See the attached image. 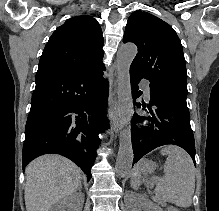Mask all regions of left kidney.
Listing matches in <instances>:
<instances>
[{
	"label": "left kidney",
	"mask_w": 219,
	"mask_h": 211,
	"mask_svg": "<svg viewBox=\"0 0 219 211\" xmlns=\"http://www.w3.org/2000/svg\"><path fill=\"white\" fill-rule=\"evenodd\" d=\"M135 199L138 207H148L147 211H162L161 207L156 205V203H144L143 199H141V197H137V195Z\"/></svg>",
	"instance_id": "1"
}]
</instances>
